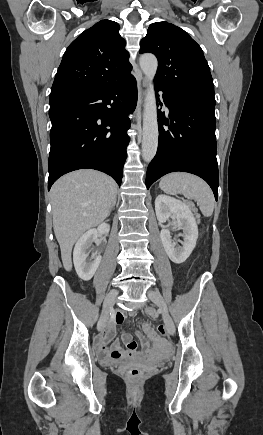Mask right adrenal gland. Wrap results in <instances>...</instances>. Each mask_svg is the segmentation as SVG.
<instances>
[{"mask_svg":"<svg viewBox=\"0 0 263 435\" xmlns=\"http://www.w3.org/2000/svg\"><path fill=\"white\" fill-rule=\"evenodd\" d=\"M115 205H116V201L113 203L112 208H113ZM112 208H111V209H112Z\"/></svg>","mask_w":263,"mask_h":435,"instance_id":"2a0ac1e0","label":"right adrenal gland"}]
</instances>
